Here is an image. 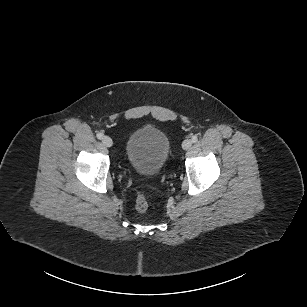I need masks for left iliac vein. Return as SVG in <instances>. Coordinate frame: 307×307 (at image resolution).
I'll return each mask as SVG.
<instances>
[{
    "mask_svg": "<svg viewBox=\"0 0 307 307\" xmlns=\"http://www.w3.org/2000/svg\"><path fill=\"white\" fill-rule=\"evenodd\" d=\"M191 145H192V141L190 139H186L182 143V148L184 150H187V149H189L191 147Z\"/></svg>",
    "mask_w": 307,
    "mask_h": 307,
    "instance_id": "1",
    "label": "left iliac vein"
}]
</instances>
